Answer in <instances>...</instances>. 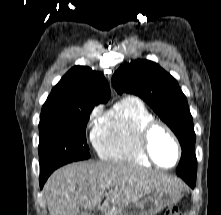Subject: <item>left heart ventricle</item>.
<instances>
[{
  "instance_id": "b2bd125f",
  "label": "left heart ventricle",
  "mask_w": 221,
  "mask_h": 215,
  "mask_svg": "<svg viewBox=\"0 0 221 215\" xmlns=\"http://www.w3.org/2000/svg\"><path fill=\"white\" fill-rule=\"evenodd\" d=\"M153 156L158 163L169 166L176 159V148L171 138L161 129H156L150 139Z\"/></svg>"
}]
</instances>
